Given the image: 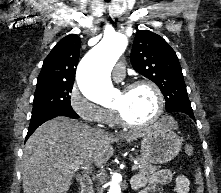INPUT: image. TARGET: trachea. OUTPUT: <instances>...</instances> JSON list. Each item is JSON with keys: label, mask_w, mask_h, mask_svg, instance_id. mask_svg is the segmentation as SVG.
Listing matches in <instances>:
<instances>
[{"label": "trachea", "mask_w": 221, "mask_h": 193, "mask_svg": "<svg viewBox=\"0 0 221 193\" xmlns=\"http://www.w3.org/2000/svg\"><path fill=\"white\" fill-rule=\"evenodd\" d=\"M105 2H110V0H105Z\"/></svg>", "instance_id": "1"}]
</instances>
